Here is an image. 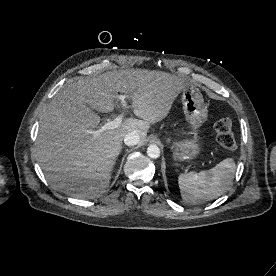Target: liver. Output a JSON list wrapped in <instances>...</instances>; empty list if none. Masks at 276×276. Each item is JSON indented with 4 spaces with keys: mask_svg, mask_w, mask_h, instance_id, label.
I'll return each instance as SVG.
<instances>
[{
    "mask_svg": "<svg viewBox=\"0 0 276 276\" xmlns=\"http://www.w3.org/2000/svg\"><path fill=\"white\" fill-rule=\"evenodd\" d=\"M186 87L180 77L141 69L83 77L64 86L43 112L36 141L38 162L48 182L72 197H100L110 183L125 135L136 132L144 142L150 124L169 114ZM118 92L130 98L140 119L127 118L94 138L89 131L97 128L100 117L93 110L112 112Z\"/></svg>",
    "mask_w": 276,
    "mask_h": 276,
    "instance_id": "obj_1",
    "label": "liver"
}]
</instances>
